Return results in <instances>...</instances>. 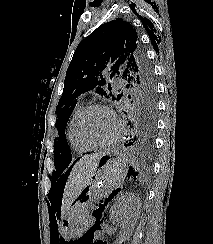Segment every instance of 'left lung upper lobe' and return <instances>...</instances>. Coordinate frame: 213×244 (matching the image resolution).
Returning a JSON list of instances; mask_svg holds the SVG:
<instances>
[{
  "instance_id": "left-lung-upper-lobe-1",
  "label": "left lung upper lobe",
  "mask_w": 213,
  "mask_h": 244,
  "mask_svg": "<svg viewBox=\"0 0 213 244\" xmlns=\"http://www.w3.org/2000/svg\"><path fill=\"white\" fill-rule=\"evenodd\" d=\"M114 80H119L125 95L121 93L115 96L109 92ZM88 91L117 101L124 95L129 104L128 111L156 117L152 69L138 43L134 28L121 18L98 27L79 43L74 52L56 109L59 135L54 140L56 167L69 164L71 153L65 127L77 98Z\"/></svg>"
}]
</instances>
